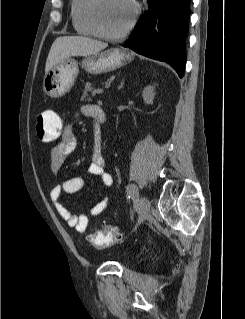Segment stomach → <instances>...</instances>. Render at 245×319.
I'll return each mask as SVG.
<instances>
[{
  "label": "stomach",
  "instance_id": "1",
  "mask_svg": "<svg viewBox=\"0 0 245 319\" xmlns=\"http://www.w3.org/2000/svg\"><path fill=\"white\" fill-rule=\"evenodd\" d=\"M132 59L125 50L113 48L91 57H86L81 64L90 73H101L123 66ZM78 62L67 58L53 66L43 78V90L52 97L59 98L65 95L74 85L78 76Z\"/></svg>",
  "mask_w": 245,
  "mask_h": 319
}]
</instances>
